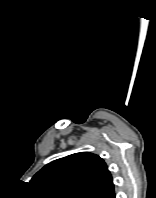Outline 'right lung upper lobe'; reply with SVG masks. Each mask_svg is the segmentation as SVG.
<instances>
[{
	"label": "right lung upper lobe",
	"mask_w": 156,
	"mask_h": 198,
	"mask_svg": "<svg viewBox=\"0 0 156 198\" xmlns=\"http://www.w3.org/2000/svg\"><path fill=\"white\" fill-rule=\"evenodd\" d=\"M30 183L48 198H115L106 163L89 152L72 154L47 164Z\"/></svg>",
	"instance_id": "obj_1"
}]
</instances>
